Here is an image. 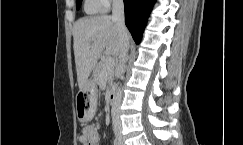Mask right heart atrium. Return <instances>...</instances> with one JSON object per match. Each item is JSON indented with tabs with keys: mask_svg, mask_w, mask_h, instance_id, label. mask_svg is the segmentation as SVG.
Masks as SVG:
<instances>
[{
	"mask_svg": "<svg viewBox=\"0 0 243 145\" xmlns=\"http://www.w3.org/2000/svg\"><path fill=\"white\" fill-rule=\"evenodd\" d=\"M119 0H100L104 8H108L113 2H116Z\"/></svg>",
	"mask_w": 243,
	"mask_h": 145,
	"instance_id": "obj_1",
	"label": "right heart atrium"
}]
</instances>
